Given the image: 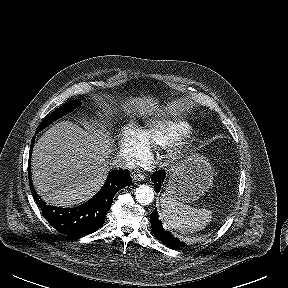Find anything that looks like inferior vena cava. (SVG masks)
Segmentation results:
<instances>
[{"mask_svg": "<svg viewBox=\"0 0 288 288\" xmlns=\"http://www.w3.org/2000/svg\"><path fill=\"white\" fill-rule=\"evenodd\" d=\"M112 165L115 168L120 169H133L135 167L134 161L129 156H117L113 161Z\"/></svg>", "mask_w": 288, "mask_h": 288, "instance_id": "obj_1", "label": "inferior vena cava"}]
</instances>
